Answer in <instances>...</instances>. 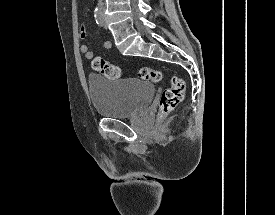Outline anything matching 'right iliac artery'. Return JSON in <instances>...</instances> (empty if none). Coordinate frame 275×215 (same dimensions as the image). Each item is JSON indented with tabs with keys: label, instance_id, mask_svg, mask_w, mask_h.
Returning <instances> with one entry per match:
<instances>
[{
	"label": "right iliac artery",
	"instance_id": "right-iliac-artery-1",
	"mask_svg": "<svg viewBox=\"0 0 275 215\" xmlns=\"http://www.w3.org/2000/svg\"><path fill=\"white\" fill-rule=\"evenodd\" d=\"M94 17H95L96 23L99 26H102L103 25V17H102L101 12L98 9L95 10Z\"/></svg>",
	"mask_w": 275,
	"mask_h": 215
}]
</instances>
